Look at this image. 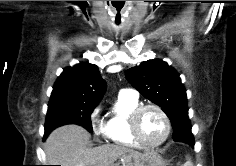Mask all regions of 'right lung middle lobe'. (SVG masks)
Returning a JSON list of instances; mask_svg holds the SVG:
<instances>
[{"label": "right lung middle lobe", "mask_w": 236, "mask_h": 166, "mask_svg": "<svg viewBox=\"0 0 236 166\" xmlns=\"http://www.w3.org/2000/svg\"><path fill=\"white\" fill-rule=\"evenodd\" d=\"M97 104L76 100L50 101L45 122V137L56 127L77 124L92 132L91 113Z\"/></svg>", "instance_id": "1"}]
</instances>
